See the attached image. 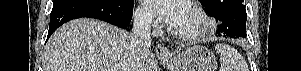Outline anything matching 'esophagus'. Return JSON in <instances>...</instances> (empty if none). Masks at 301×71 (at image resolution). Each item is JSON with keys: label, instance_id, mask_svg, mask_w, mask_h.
<instances>
[{"label": "esophagus", "instance_id": "esophagus-1", "mask_svg": "<svg viewBox=\"0 0 301 71\" xmlns=\"http://www.w3.org/2000/svg\"><path fill=\"white\" fill-rule=\"evenodd\" d=\"M155 51H156V55L160 59H168L171 57V54H170V51L168 50V48L161 43L157 45Z\"/></svg>", "mask_w": 301, "mask_h": 71}]
</instances>
